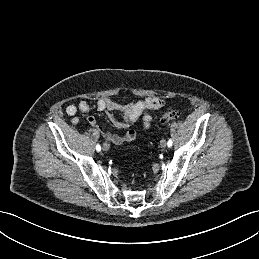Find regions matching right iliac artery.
Returning <instances> with one entry per match:
<instances>
[{"instance_id":"1","label":"right iliac artery","mask_w":259,"mask_h":259,"mask_svg":"<svg viewBox=\"0 0 259 259\" xmlns=\"http://www.w3.org/2000/svg\"><path fill=\"white\" fill-rule=\"evenodd\" d=\"M96 150L101 151V146L99 144L96 146Z\"/></svg>"}]
</instances>
